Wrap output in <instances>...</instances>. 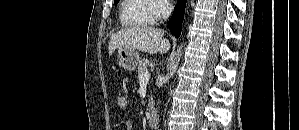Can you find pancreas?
<instances>
[{"mask_svg": "<svg viewBox=\"0 0 299 130\" xmlns=\"http://www.w3.org/2000/svg\"><path fill=\"white\" fill-rule=\"evenodd\" d=\"M149 65H150V62H149V60H147V59H142V60H140L139 61V65H138V78L140 79V77H141V75L143 74V73H145L146 71H148V69H149ZM151 103H153V101H152V98L149 100V105L151 104Z\"/></svg>", "mask_w": 299, "mask_h": 130, "instance_id": "1", "label": "pancreas"}]
</instances>
